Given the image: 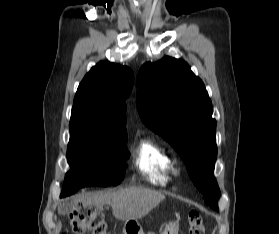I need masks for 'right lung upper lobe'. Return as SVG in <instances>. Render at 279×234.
I'll list each match as a JSON object with an SVG mask.
<instances>
[{"instance_id": "cb5924a9", "label": "right lung upper lobe", "mask_w": 279, "mask_h": 234, "mask_svg": "<svg viewBox=\"0 0 279 234\" xmlns=\"http://www.w3.org/2000/svg\"><path fill=\"white\" fill-rule=\"evenodd\" d=\"M134 75L130 68L107 61L92 67L80 83L71 112L72 123H83L101 137L127 136L125 99Z\"/></svg>"}]
</instances>
